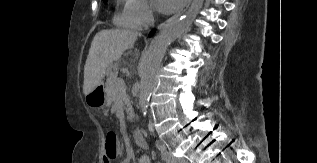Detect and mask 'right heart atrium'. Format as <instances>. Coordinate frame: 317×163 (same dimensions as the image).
<instances>
[{"label":"right heart atrium","mask_w":317,"mask_h":163,"mask_svg":"<svg viewBox=\"0 0 317 163\" xmlns=\"http://www.w3.org/2000/svg\"><path fill=\"white\" fill-rule=\"evenodd\" d=\"M134 20L140 26H146L154 20V12L147 0H135L132 6Z\"/></svg>","instance_id":"1"}]
</instances>
